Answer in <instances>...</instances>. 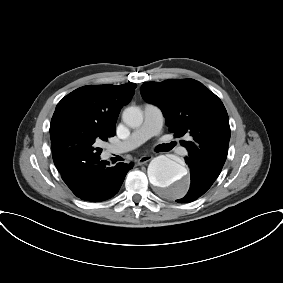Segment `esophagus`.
Masks as SVG:
<instances>
[{
  "label": "esophagus",
  "mask_w": 283,
  "mask_h": 283,
  "mask_svg": "<svg viewBox=\"0 0 283 283\" xmlns=\"http://www.w3.org/2000/svg\"><path fill=\"white\" fill-rule=\"evenodd\" d=\"M152 159V156H142L138 159L137 164L138 165H143L149 162Z\"/></svg>",
  "instance_id": "1"
}]
</instances>
